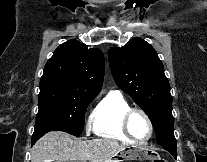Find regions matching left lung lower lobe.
Here are the masks:
<instances>
[{
    "mask_svg": "<svg viewBox=\"0 0 207 162\" xmlns=\"http://www.w3.org/2000/svg\"><path fill=\"white\" fill-rule=\"evenodd\" d=\"M162 147L167 150L168 152H170L174 158H177V146H176V141H173L171 143L162 145Z\"/></svg>",
    "mask_w": 207,
    "mask_h": 162,
    "instance_id": "obj_1",
    "label": "left lung lower lobe"
}]
</instances>
